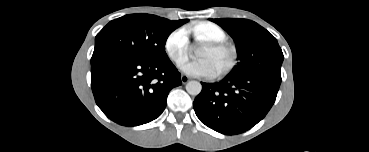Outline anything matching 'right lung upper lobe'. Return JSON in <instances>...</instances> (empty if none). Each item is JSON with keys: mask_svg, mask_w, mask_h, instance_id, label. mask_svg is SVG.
Masks as SVG:
<instances>
[{"mask_svg": "<svg viewBox=\"0 0 369 152\" xmlns=\"http://www.w3.org/2000/svg\"><path fill=\"white\" fill-rule=\"evenodd\" d=\"M168 21L171 22L173 25L179 27V26L183 25L184 23H186L188 20L185 19V20H178V21H170V20H168Z\"/></svg>", "mask_w": 369, "mask_h": 152, "instance_id": "right-lung-upper-lobe-1", "label": "right lung upper lobe"}]
</instances>
